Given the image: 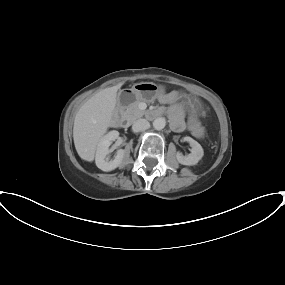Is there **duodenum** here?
Here are the masks:
<instances>
[{
  "label": "duodenum",
  "mask_w": 285,
  "mask_h": 285,
  "mask_svg": "<svg viewBox=\"0 0 285 285\" xmlns=\"http://www.w3.org/2000/svg\"><path fill=\"white\" fill-rule=\"evenodd\" d=\"M160 115L159 110H151L145 113V117L149 119L157 118ZM119 122L123 126H128V122L126 120L119 119Z\"/></svg>",
  "instance_id": "duodenum-1"
}]
</instances>
